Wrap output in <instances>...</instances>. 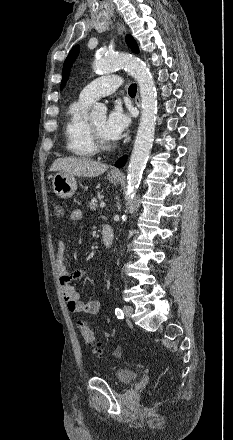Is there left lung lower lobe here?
<instances>
[{"mask_svg": "<svg viewBox=\"0 0 233 440\" xmlns=\"http://www.w3.org/2000/svg\"><path fill=\"white\" fill-rule=\"evenodd\" d=\"M126 160H127V156H123L121 159H119V160L117 161V163L115 164V166H117V167H122V166L125 164Z\"/></svg>", "mask_w": 233, "mask_h": 440, "instance_id": "obj_1", "label": "left lung lower lobe"}]
</instances>
